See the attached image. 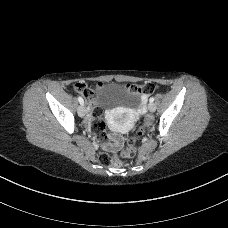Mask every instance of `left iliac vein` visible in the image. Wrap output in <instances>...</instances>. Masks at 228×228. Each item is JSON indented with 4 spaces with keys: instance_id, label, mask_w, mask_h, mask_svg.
I'll return each instance as SVG.
<instances>
[{
    "instance_id": "1",
    "label": "left iliac vein",
    "mask_w": 228,
    "mask_h": 228,
    "mask_svg": "<svg viewBox=\"0 0 228 228\" xmlns=\"http://www.w3.org/2000/svg\"><path fill=\"white\" fill-rule=\"evenodd\" d=\"M148 109H149L150 112H154L156 110L155 104L153 102L149 103L148 104Z\"/></svg>"
}]
</instances>
